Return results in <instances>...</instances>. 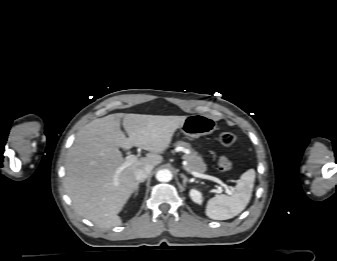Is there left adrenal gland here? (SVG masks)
I'll list each match as a JSON object with an SVG mask.
<instances>
[{
	"label": "left adrenal gland",
	"mask_w": 337,
	"mask_h": 261,
	"mask_svg": "<svg viewBox=\"0 0 337 261\" xmlns=\"http://www.w3.org/2000/svg\"><path fill=\"white\" fill-rule=\"evenodd\" d=\"M181 177L183 178V186L186 187V183H191V181L184 175L181 174Z\"/></svg>",
	"instance_id": "obj_1"
}]
</instances>
